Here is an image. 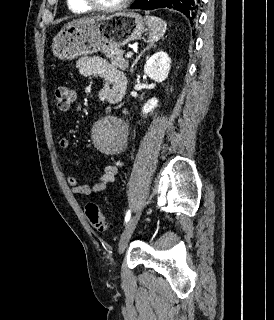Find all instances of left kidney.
<instances>
[{
	"label": "left kidney",
	"mask_w": 274,
	"mask_h": 320,
	"mask_svg": "<svg viewBox=\"0 0 274 320\" xmlns=\"http://www.w3.org/2000/svg\"><path fill=\"white\" fill-rule=\"evenodd\" d=\"M170 64L171 60L166 52H156V54H153V56L147 60L144 66V74H146L148 78H151V80H154V82L161 84V82H164V80L168 78ZM158 102V98H150V100H147L142 108L143 114L153 112V110L157 108Z\"/></svg>",
	"instance_id": "5707ae66"
}]
</instances>
